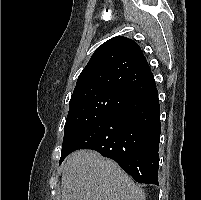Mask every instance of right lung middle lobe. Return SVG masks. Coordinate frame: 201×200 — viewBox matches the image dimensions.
Returning a JSON list of instances; mask_svg holds the SVG:
<instances>
[{"label":"right lung middle lobe","instance_id":"obj_1","mask_svg":"<svg viewBox=\"0 0 201 200\" xmlns=\"http://www.w3.org/2000/svg\"><path fill=\"white\" fill-rule=\"evenodd\" d=\"M129 99L125 95L108 90L87 91L72 95L64 127L60 163L67 156L66 146L75 135Z\"/></svg>","mask_w":201,"mask_h":200}]
</instances>
